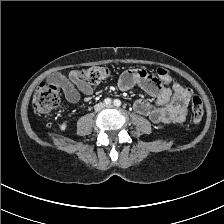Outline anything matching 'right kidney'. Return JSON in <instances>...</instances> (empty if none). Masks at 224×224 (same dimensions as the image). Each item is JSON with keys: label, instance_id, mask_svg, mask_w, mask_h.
<instances>
[{"label": "right kidney", "instance_id": "right-kidney-1", "mask_svg": "<svg viewBox=\"0 0 224 224\" xmlns=\"http://www.w3.org/2000/svg\"><path fill=\"white\" fill-rule=\"evenodd\" d=\"M60 129L62 130V131H65L66 129H67V124L64 122V123H62L61 125H60Z\"/></svg>", "mask_w": 224, "mask_h": 224}]
</instances>
